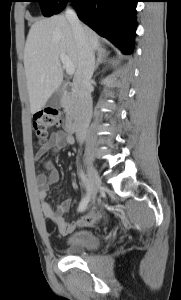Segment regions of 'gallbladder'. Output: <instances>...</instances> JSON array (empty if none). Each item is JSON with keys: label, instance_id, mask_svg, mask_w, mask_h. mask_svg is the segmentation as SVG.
<instances>
[{"label": "gallbladder", "instance_id": "obj_1", "mask_svg": "<svg viewBox=\"0 0 181 300\" xmlns=\"http://www.w3.org/2000/svg\"><path fill=\"white\" fill-rule=\"evenodd\" d=\"M63 96L62 86H60L47 100L45 106L48 108L58 109L61 106Z\"/></svg>", "mask_w": 181, "mask_h": 300}]
</instances>
